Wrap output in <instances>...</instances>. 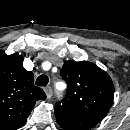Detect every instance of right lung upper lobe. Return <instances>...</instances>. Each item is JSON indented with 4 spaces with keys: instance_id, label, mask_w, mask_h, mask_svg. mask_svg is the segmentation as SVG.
Instances as JSON below:
<instances>
[{
    "instance_id": "obj_1",
    "label": "right lung upper lobe",
    "mask_w": 130,
    "mask_h": 130,
    "mask_svg": "<svg viewBox=\"0 0 130 130\" xmlns=\"http://www.w3.org/2000/svg\"><path fill=\"white\" fill-rule=\"evenodd\" d=\"M23 56L0 51V130H17L25 125L35 102L45 99L34 86V75L23 68Z\"/></svg>"
}]
</instances>
